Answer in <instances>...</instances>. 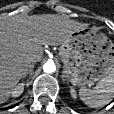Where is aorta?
Returning <instances> with one entry per match:
<instances>
[{
    "instance_id": "aorta-1",
    "label": "aorta",
    "mask_w": 114,
    "mask_h": 114,
    "mask_svg": "<svg viewBox=\"0 0 114 114\" xmlns=\"http://www.w3.org/2000/svg\"><path fill=\"white\" fill-rule=\"evenodd\" d=\"M43 70L46 73H52L56 70V66L53 61H48L43 65Z\"/></svg>"
}]
</instances>
